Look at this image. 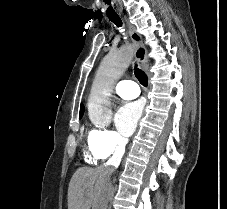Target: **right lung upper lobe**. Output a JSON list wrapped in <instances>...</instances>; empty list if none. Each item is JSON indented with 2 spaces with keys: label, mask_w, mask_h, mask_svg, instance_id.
<instances>
[{
  "label": "right lung upper lobe",
  "mask_w": 227,
  "mask_h": 209,
  "mask_svg": "<svg viewBox=\"0 0 227 209\" xmlns=\"http://www.w3.org/2000/svg\"><path fill=\"white\" fill-rule=\"evenodd\" d=\"M83 113H84V106L83 104H81L80 115H79L80 118L82 117Z\"/></svg>",
  "instance_id": "cb5924a9"
}]
</instances>
